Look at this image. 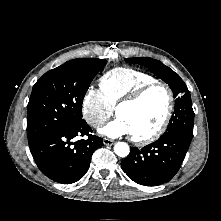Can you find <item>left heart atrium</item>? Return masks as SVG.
<instances>
[{"label": "left heart atrium", "instance_id": "left-heart-atrium-1", "mask_svg": "<svg viewBox=\"0 0 221 221\" xmlns=\"http://www.w3.org/2000/svg\"><path fill=\"white\" fill-rule=\"evenodd\" d=\"M100 133L110 138H116L123 135L131 134L127 124L118 116L116 119L112 120L104 127H102L100 129Z\"/></svg>", "mask_w": 221, "mask_h": 221}]
</instances>
